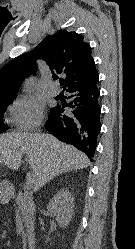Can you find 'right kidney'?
Returning <instances> with one entry per match:
<instances>
[{"label":"right kidney","mask_w":135,"mask_h":249,"mask_svg":"<svg viewBox=\"0 0 135 249\" xmlns=\"http://www.w3.org/2000/svg\"><path fill=\"white\" fill-rule=\"evenodd\" d=\"M47 209L61 228H66L74 213V198L69 191H61L48 203Z\"/></svg>","instance_id":"right-kidney-1"}]
</instances>
